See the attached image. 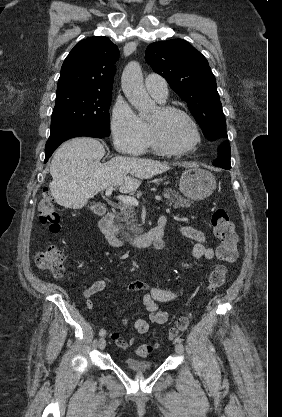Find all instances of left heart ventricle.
Returning a JSON list of instances; mask_svg holds the SVG:
<instances>
[{"label": "left heart ventricle", "instance_id": "1", "mask_svg": "<svg viewBox=\"0 0 282 417\" xmlns=\"http://www.w3.org/2000/svg\"><path fill=\"white\" fill-rule=\"evenodd\" d=\"M148 120L171 146H185L194 139L189 125L179 116H165L158 108Z\"/></svg>", "mask_w": 282, "mask_h": 417}]
</instances>
